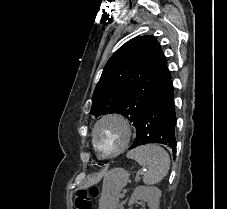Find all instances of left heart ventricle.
Wrapping results in <instances>:
<instances>
[{"mask_svg":"<svg viewBox=\"0 0 227 209\" xmlns=\"http://www.w3.org/2000/svg\"><path fill=\"white\" fill-rule=\"evenodd\" d=\"M126 138L124 126L113 119L103 121L96 130L95 141L102 153H109L121 147Z\"/></svg>","mask_w":227,"mask_h":209,"instance_id":"b2bd125f","label":"left heart ventricle"}]
</instances>
